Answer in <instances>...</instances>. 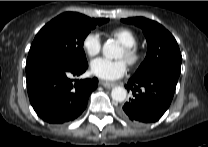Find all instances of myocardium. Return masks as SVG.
<instances>
[{
    "label": "myocardium",
    "mask_w": 208,
    "mask_h": 147,
    "mask_svg": "<svg viewBox=\"0 0 208 147\" xmlns=\"http://www.w3.org/2000/svg\"><path fill=\"white\" fill-rule=\"evenodd\" d=\"M123 49L125 51L126 61L130 66H136L141 62L143 53L138 46H124Z\"/></svg>",
    "instance_id": "1"
}]
</instances>
